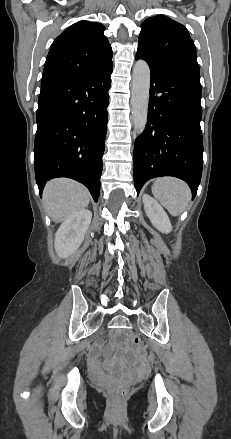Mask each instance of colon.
I'll return each instance as SVG.
<instances>
[{"instance_id": "colon-1", "label": "colon", "mask_w": 231, "mask_h": 439, "mask_svg": "<svg viewBox=\"0 0 231 439\" xmlns=\"http://www.w3.org/2000/svg\"><path fill=\"white\" fill-rule=\"evenodd\" d=\"M130 341L136 347L142 346V340L138 334H132ZM108 388L112 401H120L126 396V382L122 379L112 378L108 384Z\"/></svg>"}]
</instances>
